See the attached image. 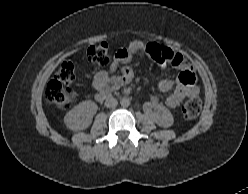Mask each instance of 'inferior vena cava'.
Here are the masks:
<instances>
[{
  "mask_svg": "<svg viewBox=\"0 0 248 194\" xmlns=\"http://www.w3.org/2000/svg\"><path fill=\"white\" fill-rule=\"evenodd\" d=\"M118 105V102H117V100L115 99V98H107L106 100H105V106L107 107V108H114V107H116Z\"/></svg>",
  "mask_w": 248,
  "mask_h": 194,
  "instance_id": "602c4592",
  "label": "inferior vena cava"
}]
</instances>
